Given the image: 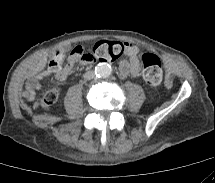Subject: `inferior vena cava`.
<instances>
[{
	"label": "inferior vena cava",
	"mask_w": 215,
	"mask_h": 183,
	"mask_svg": "<svg viewBox=\"0 0 215 183\" xmlns=\"http://www.w3.org/2000/svg\"><path fill=\"white\" fill-rule=\"evenodd\" d=\"M95 77V73L93 71H88L84 74V78L87 80H91Z\"/></svg>",
	"instance_id": "inferior-vena-cava-1"
}]
</instances>
